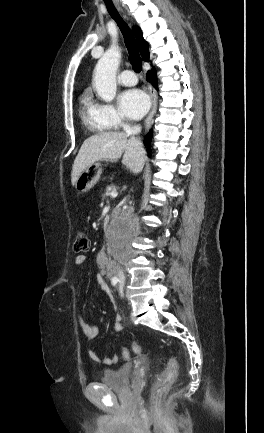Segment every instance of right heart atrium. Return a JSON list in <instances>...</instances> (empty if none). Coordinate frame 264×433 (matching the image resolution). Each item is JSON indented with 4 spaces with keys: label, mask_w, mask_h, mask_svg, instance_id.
<instances>
[{
    "label": "right heart atrium",
    "mask_w": 264,
    "mask_h": 433,
    "mask_svg": "<svg viewBox=\"0 0 264 433\" xmlns=\"http://www.w3.org/2000/svg\"><path fill=\"white\" fill-rule=\"evenodd\" d=\"M96 111L101 120L109 127H120L125 124V119L118 109L110 103H96Z\"/></svg>",
    "instance_id": "obj_1"
}]
</instances>
